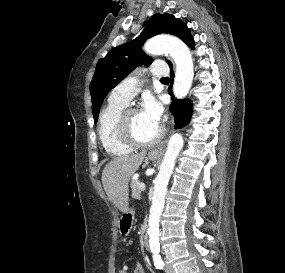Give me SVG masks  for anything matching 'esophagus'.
<instances>
[{
    "mask_svg": "<svg viewBox=\"0 0 285 273\" xmlns=\"http://www.w3.org/2000/svg\"><path fill=\"white\" fill-rule=\"evenodd\" d=\"M164 146V142H162L161 144H159L157 147H155L153 150H152V153H157V152H160L162 150Z\"/></svg>",
    "mask_w": 285,
    "mask_h": 273,
    "instance_id": "34e87169",
    "label": "esophagus"
}]
</instances>
